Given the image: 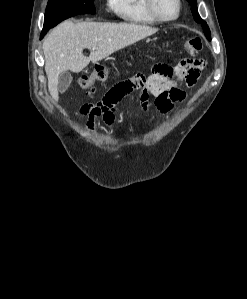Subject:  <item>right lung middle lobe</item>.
Here are the masks:
<instances>
[{
    "instance_id": "obj_1",
    "label": "right lung middle lobe",
    "mask_w": 247,
    "mask_h": 299,
    "mask_svg": "<svg viewBox=\"0 0 247 299\" xmlns=\"http://www.w3.org/2000/svg\"><path fill=\"white\" fill-rule=\"evenodd\" d=\"M93 1L94 0H49L46 7L41 37H43L49 29L69 17L86 13L94 14L95 7Z\"/></svg>"
}]
</instances>
